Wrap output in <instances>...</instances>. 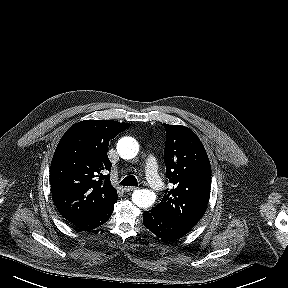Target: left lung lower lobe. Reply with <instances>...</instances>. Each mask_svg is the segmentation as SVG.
I'll return each mask as SVG.
<instances>
[{
	"label": "left lung lower lobe",
	"mask_w": 288,
	"mask_h": 288,
	"mask_svg": "<svg viewBox=\"0 0 288 288\" xmlns=\"http://www.w3.org/2000/svg\"><path fill=\"white\" fill-rule=\"evenodd\" d=\"M143 223L156 236L164 241H173L183 237L192 227L184 225L152 208L144 212Z\"/></svg>",
	"instance_id": "left-lung-lower-lobe-1"
}]
</instances>
